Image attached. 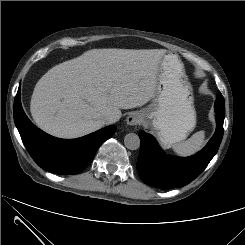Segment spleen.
Segmentation results:
<instances>
[{"instance_id": "spleen-1", "label": "spleen", "mask_w": 245, "mask_h": 245, "mask_svg": "<svg viewBox=\"0 0 245 245\" xmlns=\"http://www.w3.org/2000/svg\"><path fill=\"white\" fill-rule=\"evenodd\" d=\"M205 132L194 133L188 140L172 145L173 151L179 156H190L198 152L204 145Z\"/></svg>"}]
</instances>
